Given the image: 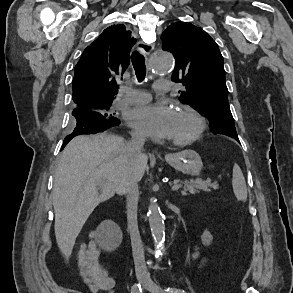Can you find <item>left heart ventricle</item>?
Listing matches in <instances>:
<instances>
[{"label": "left heart ventricle", "instance_id": "b2bd125f", "mask_svg": "<svg viewBox=\"0 0 293 293\" xmlns=\"http://www.w3.org/2000/svg\"><path fill=\"white\" fill-rule=\"evenodd\" d=\"M195 121L188 115L175 112L170 140L181 139L191 135L195 129Z\"/></svg>", "mask_w": 293, "mask_h": 293}]
</instances>
